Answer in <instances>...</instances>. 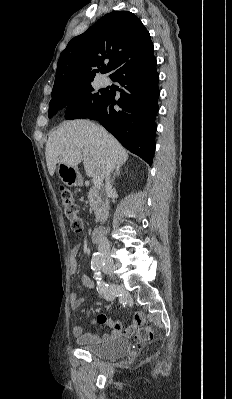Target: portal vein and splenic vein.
<instances>
[{
	"label": "portal vein and splenic vein",
	"mask_w": 232,
	"mask_h": 399,
	"mask_svg": "<svg viewBox=\"0 0 232 399\" xmlns=\"http://www.w3.org/2000/svg\"><path fill=\"white\" fill-rule=\"evenodd\" d=\"M93 184H94V188H101V186H102L101 176H95V178H93Z\"/></svg>",
	"instance_id": "1"
}]
</instances>
